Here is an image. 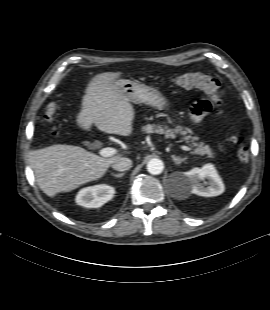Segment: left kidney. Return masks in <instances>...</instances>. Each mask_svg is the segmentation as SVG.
Segmentation results:
<instances>
[{"label":"left kidney","mask_w":270,"mask_h":310,"mask_svg":"<svg viewBox=\"0 0 270 310\" xmlns=\"http://www.w3.org/2000/svg\"><path fill=\"white\" fill-rule=\"evenodd\" d=\"M205 179L207 180V187L200 183ZM180 189L186 195L193 193L203 197L218 196L225 191L222 179L212 164H206L202 168H193L188 172H184Z\"/></svg>","instance_id":"1"}]
</instances>
